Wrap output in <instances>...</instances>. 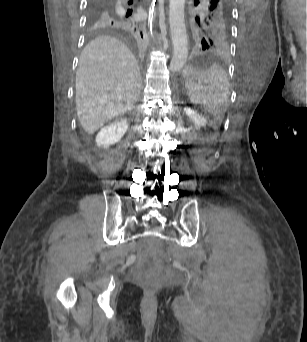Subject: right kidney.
<instances>
[{"instance_id": "obj_1", "label": "right kidney", "mask_w": 307, "mask_h": 342, "mask_svg": "<svg viewBox=\"0 0 307 342\" xmlns=\"http://www.w3.org/2000/svg\"><path fill=\"white\" fill-rule=\"evenodd\" d=\"M128 130V124L126 120H116V122H111L105 128H102L96 136L97 146L101 148H108L112 144L119 142L123 138L125 132Z\"/></svg>"}]
</instances>
